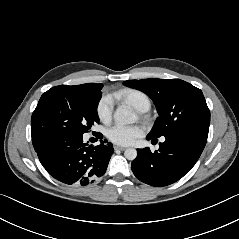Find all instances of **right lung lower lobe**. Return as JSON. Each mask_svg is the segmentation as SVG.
<instances>
[{
  "instance_id": "1",
  "label": "right lung lower lobe",
  "mask_w": 239,
  "mask_h": 239,
  "mask_svg": "<svg viewBox=\"0 0 239 239\" xmlns=\"http://www.w3.org/2000/svg\"><path fill=\"white\" fill-rule=\"evenodd\" d=\"M100 134V139H102ZM101 140L95 147L83 142V135L58 134L45 141L38 149L43 167L55 179L68 185H88L103 176L114 149Z\"/></svg>"
}]
</instances>
